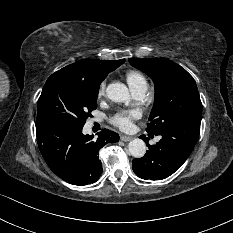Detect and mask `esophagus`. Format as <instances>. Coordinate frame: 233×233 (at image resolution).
<instances>
[{
    "label": "esophagus",
    "instance_id": "1",
    "mask_svg": "<svg viewBox=\"0 0 233 233\" xmlns=\"http://www.w3.org/2000/svg\"><path fill=\"white\" fill-rule=\"evenodd\" d=\"M120 139L124 142H129L130 140H132V137L130 136H126V135H121Z\"/></svg>",
    "mask_w": 233,
    "mask_h": 233
}]
</instances>
